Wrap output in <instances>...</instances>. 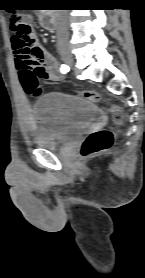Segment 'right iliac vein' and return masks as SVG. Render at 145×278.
<instances>
[{
	"label": "right iliac vein",
	"instance_id": "63e3f726",
	"mask_svg": "<svg viewBox=\"0 0 145 278\" xmlns=\"http://www.w3.org/2000/svg\"><path fill=\"white\" fill-rule=\"evenodd\" d=\"M60 54L65 64L68 66L73 65V57L68 49L60 50Z\"/></svg>",
	"mask_w": 145,
	"mask_h": 278
}]
</instances>
